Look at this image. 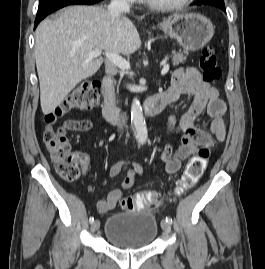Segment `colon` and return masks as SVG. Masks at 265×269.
<instances>
[{
  "label": "colon",
  "mask_w": 265,
  "mask_h": 269,
  "mask_svg": "<svg viewBox=\"0 0 265 269\" xmlns=\"http://www.w3.org/2000/svg\"><path fill=\"white\" fill-rule=\"evenodd\" d=\"M199 67L206 82L215 83L220 79L221 69L211 46L203 49ZM100 94L101 85L98 81L87 82L73 90L53 112L46 115L48 127L44 133L45 146L59 176L66 182L76 181L80 177L79 159L71 147L65 129H54L51 125L70 111L89 110L97 107ZM77 124L84 126L80 121ZM65 128L69 129L67 123ZM209 155V148L203 147L191 157L177 184L176 193L178 195L189 191L197 184L207 167ZM158 203V192L144 191L125 197L122 205L127 210L138 211L148 206H156Z\"/></svg>",
  "instance_id": "1"
}]
</instances>
